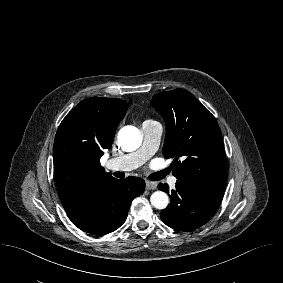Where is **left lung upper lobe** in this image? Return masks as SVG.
<instances>
[{"instance_id":"1","label":"left lung upper lobe","mask_w":283,"mask_h":283,"mask_svg":"<svg viewBox=\"0 0 283 283\" xmlns=\"http://www.w3.org/2000/svg\"><path fill=\"white\" fill-rule=\"evenodd\" d=\"M152 105L166 122L165 158H173L172 174L196 187L223 195L227 163L215 117L184 89L155 94Z\"/></svg>"}]
</instances>
